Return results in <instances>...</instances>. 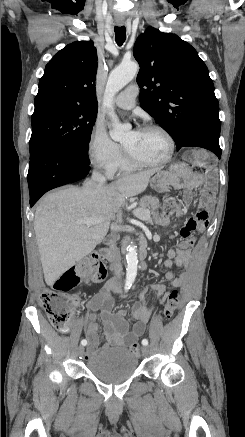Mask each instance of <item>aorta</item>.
Instances as JSON below:
<instances>
[{"mask_svg":"<svg viewBox=\"0 0 245 437\" xmlns=\"http://www.w3.org/2000/svg\"><path fill=\"white\" fill-rule=\"evenodd\" d=\"M138 65L134 62L121 64L116 67L110 74L107 80L104 105L108 109V114L112 120V128L110 129V136L113 140L119 141L128 130V126L119 123L117 116L114 113L113 98L124 86H126L137 74ZM126 281L133 282L137 275L138 256L136 246L133 244L127 247L126 254Z\"/></svg>","mask_w":245,"mask_h":437,"instance_id":"1","label":"aorta"}]
</instances>
